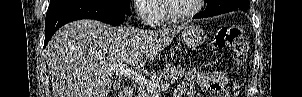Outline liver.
I'll return each mask as SVG.
<instances>
[{
    "mask_svg": "<svg viewBox=\"0 0 302 97\" xmlns=\"http://www.w3.org/2000/svg\"><path fill=\"white\" fill-rule=\"evenodd\" d=\"M184 25L159 30L112 27L95 20L64 25L46 47L54 97H107L112 80L105 67H143L169 45Z\"/></svg>",
    "mask_w": 302,
    "mask_h": 97,
    "instance_id": "1",
    "label": "liver"
}]
</instances>
